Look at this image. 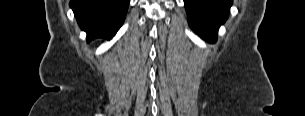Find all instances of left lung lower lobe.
<instances>
[{"mask_svg":"<svg viewBox=\"0 0 305 116\" xmlns=\"http://www.w3.org/2000/svg\"><path fill=\"white\" fill-rule=\"evenodd\" d=\"M189 26L203 39L213 42L228 18L232 0H184Z\"/></svg>","mask_w":305,"mask_h":116,"instance_id":"1","label":"left lung lower lobe"}]
</instances>
